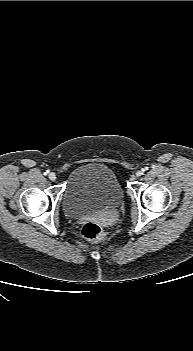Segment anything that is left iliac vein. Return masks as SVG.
Masks as SVG:
<instances>
[{"label": "left iliac vein", "instance_id": "obj_1", "mask_svg": "<svg viewBox=\"0 0 193 351\" xmlns=\"http://www.w3.org/2000/svg\"><path fill=\"white\" fill-rule=\"evenodd\" d=\"M142 174H143V173H142V171H140V170H138V171L136 172V176H137V177L142 176Z\"/></svg>", "mask_w": 193, "mask_h": 351}]
</instances>
